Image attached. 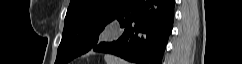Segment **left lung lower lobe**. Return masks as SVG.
<instances>
[{
    "label": "left lung lower lobe",
    "mask_w": 242,
    "mask_h": 64,
    "mask_svg": "<svg viewBox=\"0 0 242 64\" xmlns=\"http://www.w3.org/2000/svg\"><path fill=\"white\" fill-rule=\"evenodd\" d=\"M175 0H131L116 15L124 29L111 42H100L92 50L109 53L137 64H161L172 32Z\"/></svg>",
    "instance_id": "0a47b994"
}]
</instances>
